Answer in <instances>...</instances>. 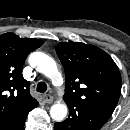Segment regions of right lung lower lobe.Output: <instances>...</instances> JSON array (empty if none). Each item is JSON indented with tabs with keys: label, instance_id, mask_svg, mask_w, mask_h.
<instances>
[{
	"label": "right lung lower lobe",
	"instance_id": "1",
	"mask_svg": "<svg viewBox=\"0 0 130 130\" xmlns=\"http://www.w3.org/2000/svg\"><path fill=\"white\" fill-rule=\"evenodd\" d=\"M26 117L27 115L15 122L1 126L0 130H24V122L26 120Z\"/></svg>",
	"mask_w": 130,
	"mask_h": 130
}]
</instances>
